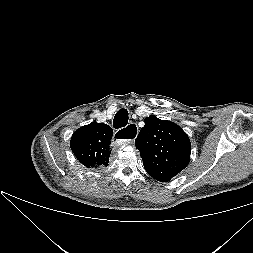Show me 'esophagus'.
Listing matches in <instances>:
<instances>
[{
  "mask_svg": "<svg viewBox=\"0 0 253 253\" xmlns=\"http://www.w3.org/2000/svg\"><path fill=\"white\" fill-rule=\"evenodd\" d=\"M137 134V125L130 123L127 127L117 130L114 134V138L121 143H127L133 141L136 138Z\"/></svg>",
  "mask_w": 253,
  "mask_h": 253,
  "instance_id": "esophagus-1",
  "label": "esophagus"
}]
</instances>
